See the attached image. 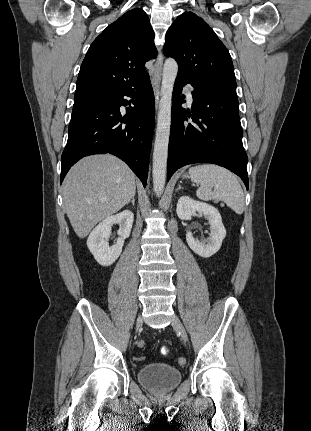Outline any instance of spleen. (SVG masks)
Wrapping results in <instances>:
<instances>
[{
  "label": "spleen",
  "instance_id": "obj_1",
  "mask_svg": "<svg viewBox=\"0 0 311 431\" xmlns=\"http://www.w3.org/2000/svg\"><path fill=\"white\" fill-rule=\"evenodd\" d=\"M191 182L199 184L196 196L199 200H220L225 202L228 208L235 214H243L245 208V196L234 174L229 170L214 166V164H202L189 168ZM215 188V190H212Z\"/></svg>",
  "mask_w": 311,
  "mask_h": 431
}]
</instances>
